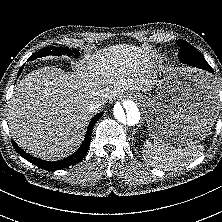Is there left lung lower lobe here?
Returning <instances> with one entry per match:
<instances>
[{
  "mask_svg": "<svg viewBox=\"0 0 222 222\" xmlns=\"http://www.w3.org/2000/svg\"><path fill=\"white\" fill-rule=\"evenodd\" d=\"M185 62H186V63H185ZM185 62H182V63H185V64H188V65H191V66H194V67H197V68L202 69L199 63H196V62H194V61H192V60L186 59ZM203 70H205V69H203ZM206 71H209V72H211V73H214V71H213L212 68H211V69H206Z\"/></svg>",
  "mask_w": 222,
  "mask_h": 222,
  "instance_id": "1",
  "label": "left lung lower lobe"
}]
</instances>
